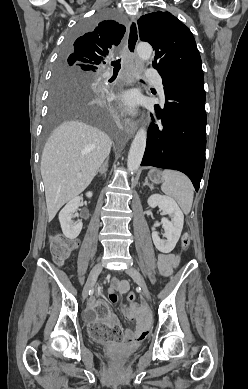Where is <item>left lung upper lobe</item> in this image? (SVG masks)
I'll return each instance as SVG.
<instances>
[{"label": "left lung upper lobe", "instance_id": "obj_1", "mask_svg": "<svg viewBox=\"0 0 248 389\" xmlns=\"http://www.w3.org/2000/svg\"><path fill=\"white\" fill-rule=\"evenodd\" d=\"M139 36L155 51L153 67L163 82L189 73H203L191 31L169 12H153L138 20Z\"/></svg>", "mask_w": 248, "mask_h": 389}]
</instances>
